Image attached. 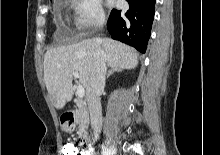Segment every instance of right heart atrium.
<instances>
[{"instance_id": "obj_1", "label": "right heart atrium", "mask_w": 220, "mask_h": 155, "mask_svg": "<svg viewBox=\"0 0 220 155\" xmlns=\"http://www.w3.org/2000/svg\"><path fill=\"white\" fill-rule=\"evenodd\" d=\"M74 22L81 32H91L101 27L106 19L101 0H74Z\"/></svg>"}]
</instances>
